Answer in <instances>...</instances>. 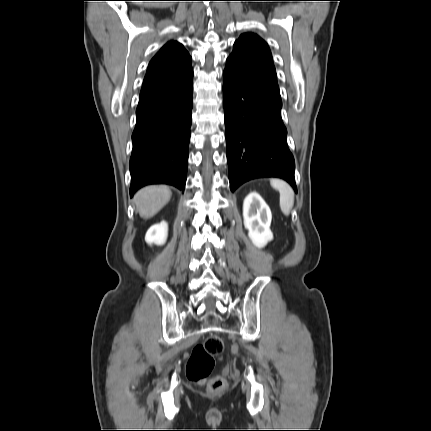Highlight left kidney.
Returning a JSON list of instances; mask_svg holds the SVG:
<instances>
[{
  "label": "left kidney",
  "mask_w": 431,
  "mask_h": 431,
  "mask_svg": "<svg viewBox=\"0 0 431 431\" xmlns=\"http://www.w3.org/2000/svg\"><path fill=\"white\" fill-rule=\"evenodd\" d=\"M243 218L245 228L252 242L257 247H263L272 239L270 231L271 211L262 197L251 192L243 203Z\"/></svg>",
  "instance_id": "obj_1"
}]
</instances>
